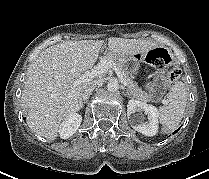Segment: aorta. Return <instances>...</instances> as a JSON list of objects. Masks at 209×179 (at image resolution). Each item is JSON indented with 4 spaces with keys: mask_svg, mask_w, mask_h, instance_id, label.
Instances as JSON below:
<instances>
[{
    "mask_svg": "<svg viewBox=\"0 0 209 179\" xmlns=\"http://www.w3.org/2000/svg\"><path fill=\"white\" fill-rule=\"evenodd\" d=\"M119 89V83L117 80L112 79L107 84V90L110 92H115Z\"/></svg>",
    "mask_w": 209,
    "mask_h": 179,
    "instance_id": "obj_1",
    "label": "aorta"
}]
</instances>
